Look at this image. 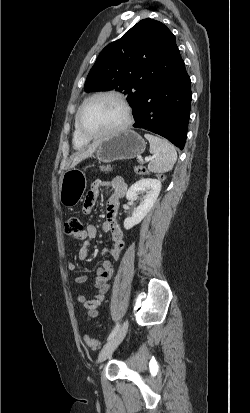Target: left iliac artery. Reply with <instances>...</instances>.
Segmentation results:
<instances>
[{
  "label": "left iliac artery",
  "instance_id": "left-iliac-artery-1",
  "mask_svg": "<svg viewBox=\"0 0 250 413\" xmlns=\"http://www.w3.org/2000/svg\"><path fill=\"white\" fill-rule=\"evenodd\" d=\"M119 329H120V324L117 323L116 326H115V328L112 330V332H111L110 335L108 336V339H107V340H110L111 338H113Z\"/></svg>",
  "mask_w": 250,
  "mask_h": 413
}]
</instances>
